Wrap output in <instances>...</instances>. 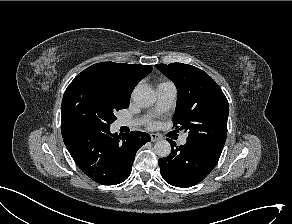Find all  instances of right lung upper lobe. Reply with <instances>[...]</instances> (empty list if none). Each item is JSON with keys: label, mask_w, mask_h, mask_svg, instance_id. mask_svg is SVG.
Wrapping results in <instances>:
<instances>
[{"label": "right lung upper lobe", "mask_w": 292, "mask_h": 224, "mask_svg": "<svg viewBox=\"0 0 292 224\" xmlns=\"http://www.w3.org/2000/svg\"><path fill=\"white\" fill-rule=\"evenodd\" d=\"M90 67L103 69L112 83L130 98L135 86L152 71L149 65L102 62Z\"/></svg>", "instance_id": "1"}]
</instances>
